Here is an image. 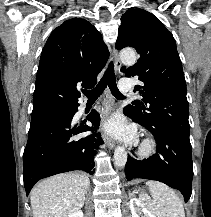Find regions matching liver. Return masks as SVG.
Listing matches in <instances>:
<instances>
[{
  "label": "liver",
  "mask_w": 211,
  "mask_h": 217,
  "mask_svg": "<svg viewBox=\"0 0 211 217\" xmlns=\"http://www.w3.org/2000/svg\"><path fill=\"white\" fill-rule=\"evenodd\" d=\"M89 185L83 173L58 174L39 182L30 194L33 217H68L77 212Z\"/></svg>",
  "instance_id": "liver-1"
}]
</instances>
